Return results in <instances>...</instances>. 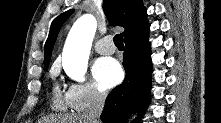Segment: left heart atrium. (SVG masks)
Returning a JSON list of instances; mask_svg holds the SVG:
<instances>
[{
    "label": "left heart atrium",
    "mask_w": 221,
    "mask_h": 123,
    "mask_svg": "<svg viewBox=\"0 0 221 123\" xmlns=\"http://www.w3.org/2000/svg\"><path fill=\"white\" fill-rule=\"evenodd\" d=\"M92 73L99 86L104 89L114 87L123 77L120 64L110 57L99 58L93 65Z\"/></svg>",
    "instance_id": "39dd6f15"
}]
</instances>
